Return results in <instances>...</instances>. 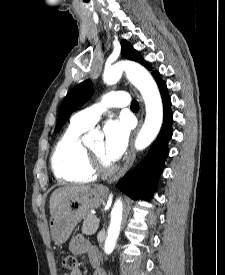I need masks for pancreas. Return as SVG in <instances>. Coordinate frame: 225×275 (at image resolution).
Segmentation results:
<instances>
[{"label":"pancreas","mask_w":225,"mask_h":275,"mask_svg":"<svg viewBox=\"0 0 225 275\" xmlns=\"http://www.w3.org/2000/svg\"><path fill=\"white\" fill-rule=\"evenodd\" d=\"M96 216L93 214H88L83 221L82 225V233L86 235H92L95 234L99 224L95 222Z\"/></svg>","instance_id":"pancreas-1"}]
</instances>
